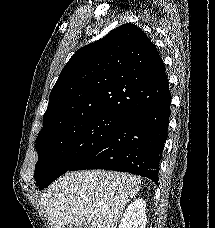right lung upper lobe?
Segmentation results:
<instances>
[{
    "label": "right lung upper lobe",
    "instance_id": "right-lung-upper-lobe-1",
    "mask_svg": "<svg viewBox=\"0 0 215 228\" xmlns=\"http://www.w3.org/2000/svg\"><path fill=\"white\" fill-rule=\"evenodd\" d=\"M166 79L156 46L136 25H121L69 59L40 132L103 114L125 118L167 96Z\"/></svg>",
    "mask_w": 215,
    "mask_h": 228
}]
</instances>
